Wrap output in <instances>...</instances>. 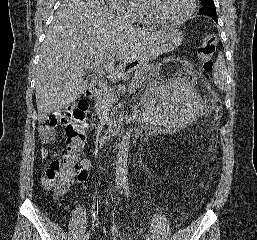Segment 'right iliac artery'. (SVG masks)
Here are the masks:
<instances>
[{"instance_id": "82829eb1", "label": "right iliac artery", "mask_w": 257, "mask_h": 240, "mask_svg": "<svg viewBox=\"0 0 257 240\" xmlns=\"http://www.w3.org/2000/svg\"><path fill=\"white\" fill-rule=\"evenodd\" d=\"M121 182L116 180V183H115V193L117 192V190L120 188L121 186ZM89 236H90V233H86L85 236L83 237V240H89Z\"/></svg>"}]
</instances>
